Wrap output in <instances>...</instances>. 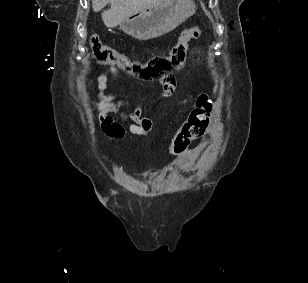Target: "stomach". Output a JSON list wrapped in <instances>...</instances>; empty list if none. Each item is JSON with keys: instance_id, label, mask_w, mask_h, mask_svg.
<instances>
[{"instance_id": "1", "label": "stomach", "mask_w": 308, "mask_h": 283, "mask_svg": "<svg viewBox=\"0 0 308 283\" xmlns=\"http://www.w3.org/2000/svg\"><path fill=\"white\" fill-rule=\"evenodd\" d=\"M194 12L193 0H163L126 17L119 27L129 36L149 40L174 30Z\"/></svg>"}]
</instances>
